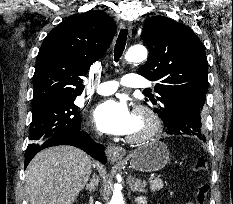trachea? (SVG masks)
Here are the masks:
<instances>
[{"label":"trachea","instance_id":"1","mask_svg":"<svg viewBox=\"0 0 233 204\" xmlns=\"http://www.w3.org/2000/svg\"><path fill=\"white\" fill-rule=\"evenodd\" d=\"M127 35H128V30L121 29V31L118 35L117 41H116L115 49H114L115 62H118L120 57L123 54V51H124L125 45H126Z\"/></svg>","mask_w":233,"mask_h":204}]
</instances>
